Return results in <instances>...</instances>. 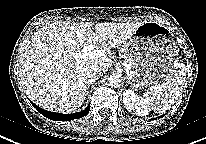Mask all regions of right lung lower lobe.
<instances>
[{
	"instance_id": "98d812e1",
	"label": "right lung lower lobe",
	"mask_w": 206,
	"mask_h": 144,
	"mask_svg": "<svg viewBox=\"0 0 206 144\" xmlns=\"http://www.w3.org/2000/svg\"><path fill=\"white\" fill-rule=\"evenodd\" d=\"M32 105L36 108L38 112H40L43 116L54 120V121H69L73 119H78L86 116L89 113L90 105H88L83 111L73 113V114H60L55 112L46 111L44 109H41L40 107L36 106L33 102H31Z\"/></svg>"
}]
</instances>
